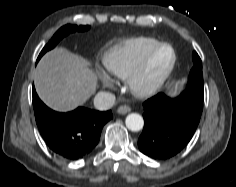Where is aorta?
Listing matches in <instances>:
<instances>
[{
  "label": "aorta",
  "mask_w": 236,
  "mask_h": 187,
  "mask_svg": "<svg viewBox=\"0 0 236 187\" xmlns=\"http://www.w3.org/2000/svg\"><path fill=\"white\" fill-rule=\"evenodd\" d=\"M125 124L131 131H140L144 126V120L140 114L131 113L126 117Z\"/></svg>",
  "instance_id": "1"
}]
</instances>
